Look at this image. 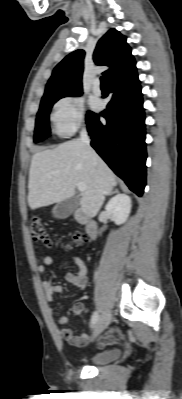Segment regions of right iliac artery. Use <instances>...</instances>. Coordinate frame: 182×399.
<instances>
[{"label": "right iliac artery", "instance_id": "obj_1", "mask_svg": "<svg viewBox=\"0 0 182 399\" xmlns=\"http://www.w3.org/2000/svg\"><path fill=\"white\" fill-rule=\"evenodd\" d=\"M98 318H99V314H98L97 311H95V312L93 313L92 317H91L90 325H91V326H94V325L96 324V322L98 321Z\"/></svg>", "mask_w": 182, "mask_h": 399}]
</instances>
